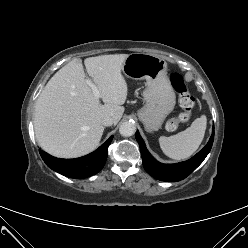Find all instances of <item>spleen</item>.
I'll return each mask as SVG.
<instances>
[{
    "instance_id": "spleen-1",
    "label": "spleen",
    "mask_w": 248,
    "mask_h": 248,
    "mask_svg": "<svg viewBox=\"0 0 248 248\" xmlns=\"http://www.w3.org/2000/svg\"><path fill=\"white\" fill-rule=\"evenodd\" d=\"M207 119L205 115L195 119L191 126L176 135L159 138L160 147L165 155L175 160L189 158L203 141Z\"/></svg>"
}]
</instances>
